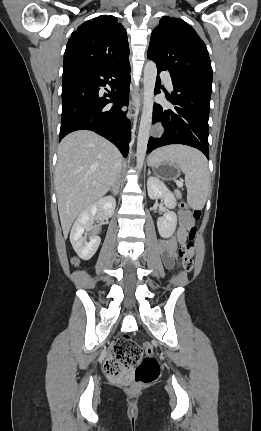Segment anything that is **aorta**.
Wrapping results in <instances>:
<instances>
[{"label":"aorta","mask_w":261,"mask_h":431,"mask_svg":"<svg viewBox=\"0 0 261 431\" xmlns=\"http://www.w3.org/2000/svg\"><path fill=\"white\" fill-rule=\"evenodd\" d=\"M157 77V66L154 62L149 61L144 67V100H143V111L139 126L138 140H137V152L136 161L137 169L141 170L143 167L147 144L149 139V133L151 130L152 113H153V97L154 88Z\"/></svg>","instance_id":"1"}]
</instances>
